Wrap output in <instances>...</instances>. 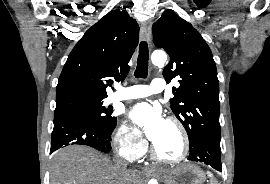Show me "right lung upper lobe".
I'll return each instance as SVG.
<instances>
[{
  "instance_id": "obj_1",
  "label": "right lung upper lobe",
  "mask_w": 270,
  "mask_h": 184,
  "mask_svg": "<svg viewBox=\"0 0 270 184\" xmlns=\"http://www.w3.org/2000/svg\"><path fill=\"white\" fill-rule=\"evenodd\" d=\"M135 19L120 9L112 10L75 45L59 77L56 98L84 95L106 98L112 80L123 79L138 44Z\"/></svg>"
}]
</instances>
